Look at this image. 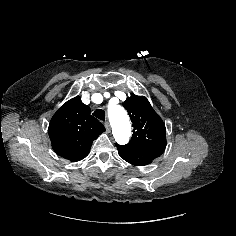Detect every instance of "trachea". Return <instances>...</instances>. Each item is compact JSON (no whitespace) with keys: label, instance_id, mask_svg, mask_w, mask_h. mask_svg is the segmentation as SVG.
Masks as SVG:
<instances>
[{"label":"trachea","instance_id":"obj_1","mask_svg":"<svg viewBox=\"0 0 236 236\" xmlns=\"http://www.w3.org/2000/svg\"><path fill=\"white\" fill-rule=\"evenodd\" d=\"M93 116H95L96 118L104 121V119H105V111L102 110V109H98V110L94 111Z\"/></svg>","mask_w":236,"mask_h":236}]
</instances>
